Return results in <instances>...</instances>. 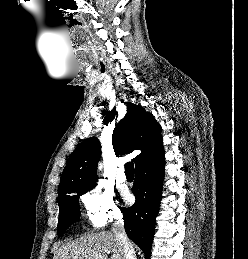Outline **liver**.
I'll return each mask as SVG.
<instances>
[{
    "mask_svg": "<svg viewBox=\"0 0 248 259\" xmlns=\"http://www.w3.org/2000/svg\"><path fill=\"white\" fill-rule=\"evenodd\" d=\"M124 259L123 247L112 232L88 233L60 246L53 259Z\"/></svg>",
    "mask_w": 248,
    "mask_h": 259,
    "instance_id": "1",
    "label": "liver"
}]
</instances>
